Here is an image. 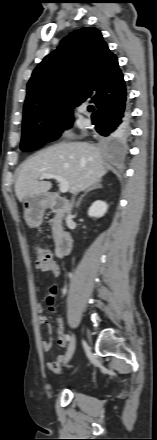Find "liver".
<instances>
[{
	"label": "liver",
	"instance_id": "obj_1",
	"mask_svg": "<svg viewBox=\"0 0 157 440\" xmlns=\"http://www.w3.org/2000/svg\"><path fill=\"white\" fill-rule=\"evenodd\" d=\"M107 173L102 151L87 142L58 143L41 150L19 168L15 194L19 201L26 196L44 195L52 187L49 181H39L43 174L64 177L70 193L83 191L100 182Z\"/></svg>",
	"mask_w": 157,
	"mask_h": 440
}]
</instances>
